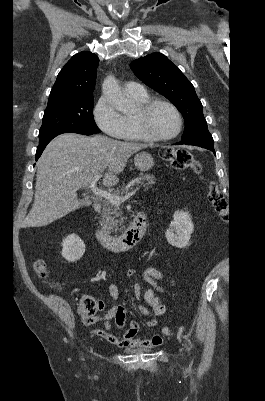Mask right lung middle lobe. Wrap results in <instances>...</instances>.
Returning a JSON list of instances; mask_svg holds the SVG:
<instances>
[{
  "label": "right lung middle lobe",
  "mask_w": 265,
  "mask_h": 401,
  "mask_svg": "<svg viewBox=\"0 0 265 401\" xmlns=\"http://www.w3.org/2000/svg\"><path fill=\"white\" fill-rule=\"evenodd\" d=\"M93 95L82 96L48 105L39 131V141L56 132L84 135L100 133L93 117Z\"/></svg>",
  "instance_id": "right-lung-middle-lobe-1"
}]
</instances>
